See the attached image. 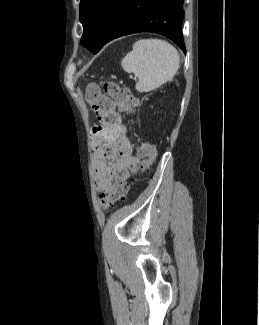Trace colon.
I'll return each mask as SVG.
<instances>
[{"instance_id":"obj_1","label":"colon","mask_w":259,"mask_h":325,"mask_svg":"<svg viewBox=\"0 0 259 325\" xmlns=\"http://www.w3.org/2000/svg\"><path fill=\"white\" fill-rule=\"evenodd\" d=\"M86 100L99 113L100 126L90 128V139H99L101 129L110 128L115 124V118L109 113L111 107H117L126 114H133L138 106L137 98L125 86L114 81L91 83L86 87ZM137 154L141 158L140 168L147 169L154 160L155 150L151 145L142 144L137 147ZM129 173H119L113 182L112 190L102 193L99 197L102 208L111 209L116 202L124 200L128 192Z\"/></svg>"}]
</instances>
